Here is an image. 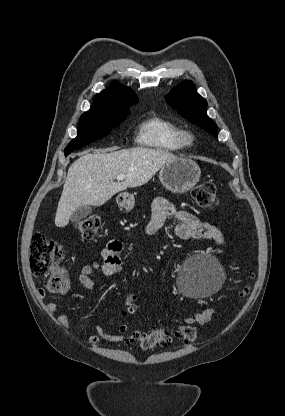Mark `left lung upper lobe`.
<instances>
[{"label": "left lung upper lobe", "instance_id": "5c2ea615", "mask_svg": "<svg viewBox=\"0 0 285 416\" xmlns=\"http://www.w3.org/2000/svg\"><path fill=\"white\" fill-rule=\"evenodd\" d=\"M166 101L181 116L217 137V125L206 113L207 102L197 93L191 81L182 82L174 88L166 96Z\"/></svg>", "mask_w": 285, "mask_h": 416}]
</instances>
